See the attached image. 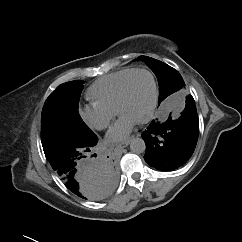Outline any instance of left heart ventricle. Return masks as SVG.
<instances>
[{"label": "left heart ventricle", "instance_id": "obj_1", "mask_svg": "<svg viewBox=\"0 0 242 242\" xmlns=\"http://www.w3.org/2000/svg\"><path fill=\"white\" fill-rule=\"evenodd\" d=\"M152 82L148 74H135L129 81L125 100L120 108V115L128 116L135 121L144 118L151 106Z\"/></svg>", "mask_w": 242, "mask_h": 242}]
</instances>
